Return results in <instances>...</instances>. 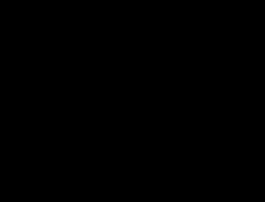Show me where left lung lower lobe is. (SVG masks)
<instances>
[{
  "mask_svg": "<svg viewBox=\"0 0 265 202\" xmlns=\"http://www.w3.org/2000/svg\"><path fill=\"white\" fill-rule=\"evenodd\" d=\"M154 93L170 101V110L155 119V125L167 147L175 153L181 150L197 151L201 142L214 138V131L204 132L201 136L195 137L193 116L197 106L180 108L176 101L178 92L174 87L159 85L154 88Z\"/></svg>",
  "mask_w": 265,
  "mask_h": 202,
  "instance_id": "1",
  "label": "left lung lower lobe"
}]
</instances>
